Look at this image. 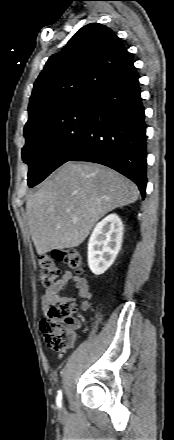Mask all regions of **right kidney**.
Segmentation results:
<instances>
[{"label":"right kidney","instance_id":"1","mask_svg":"<svg viewBox=\"0 0 174 440\" xmlns=\"http://www.w3.org/2000/svg\"><path fill=\"white\" fill-rule=\"evenodd\" d=\"M123 223L110 214L94 228L88 242V266L95 275L103 274L114 262L122 244Z\"/></svg>","mask_w":174,"mask_h":440}]
</instances>
